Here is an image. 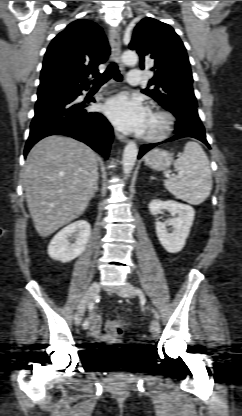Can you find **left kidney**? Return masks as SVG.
<instances>
[{
  "mask_svg": "<svg viewBox=\"0 0 242 416\" xmlns=\"http://www.w3.org/2000/svg\"><path fill=\"white\" fill-rule=\"evenodd\" d=\"M148 208L150 213L155 216L162 210H167L176 216L165 222L156 221L155 228L157 237L166 251L170 253L181 251L193 224L195 216L193 207L172 200H153L149 203ZM167 226H172L171 233L168 232Z\"/></svg>",
  "mask_w": 242,
  "mask_h": 416,
  "instance_id": "5707ae66",
  "label": "left kidney"
}]
</instances>
